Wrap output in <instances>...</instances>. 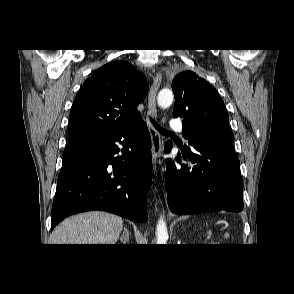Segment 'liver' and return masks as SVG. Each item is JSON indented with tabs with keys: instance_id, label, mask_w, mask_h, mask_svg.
Wrapping results in <instances>:
<instances>
[{
	"instance_id": "obj_1",
	"label": "liver",
	"mask_w": 294,
	"mask_h": 294,
	"mask_svg": "<svg viewBox=\"0 0 294 294\" xmlns=\"http://www.w3.org/2000/svg\"><path fill=\"white\" fill-rule=\"evenodd\" d=\"M123 229V219L102 211L74 215L52 232V244H116Z\"/></svg>"
}]
</instances>
